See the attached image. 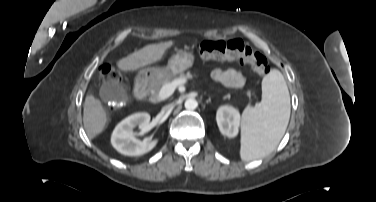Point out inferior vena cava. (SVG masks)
Returning <instances> with one entry per match:
<instances>
[{
	"instance_id": "inferior-vena-cava-1",
	"label": "inferior vena cava",
	"mask_w": 376,
	"mask_h": 202,
	"mask_svg": "<svg viewBox=\"0 0 376 202\" xmlns=\"http://www.w3.org/2000/svg\"><path fill=\"white\" fill-rule=\"evenodd\" d=\"M169 108H170V106H165V107H163V109H162V111H167V110H169Z\"/></svg>"
}]
</instances>
